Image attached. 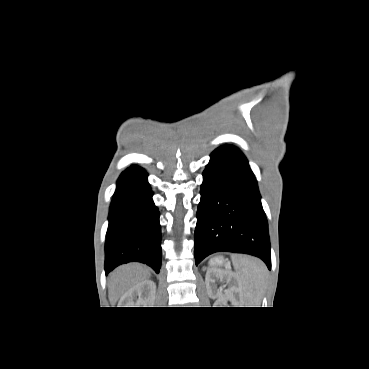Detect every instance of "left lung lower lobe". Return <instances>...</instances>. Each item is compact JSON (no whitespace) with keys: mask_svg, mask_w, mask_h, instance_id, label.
Here are the masks:
<instances>
[{"mask_svg":"<svg viewBox=\"0 0 369 369\" xmlns=\"http://www.w3.org/2000/svg\"><path fill=\"white\" fill-rule=\"evenodd\" d=\"M203 172L194 254L254 255L271 268L270 239L257 181L244 154L232 145L217 148Z\"/></svg>","mask_w":369,"mask_h":369,"instance_id":"0a47b994","label":"left lung lower lobe"}]
</instances>
